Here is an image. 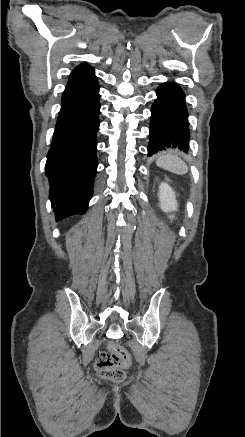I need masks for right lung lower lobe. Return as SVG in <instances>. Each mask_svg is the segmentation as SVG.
Wrapping results in <instances>:
<instances>
[{"instance_id": "98d812e1", "label": "right lung lower lobe", "mask_w": 245, "mask_h": 437, "mask_svg": "<svg viewBox=\"0 0 245 437\" xmlns=\"http://www.w3.org/2000/svg\"><path fill=\"white\" fill-rule=\"evenodd\" d=\"M99 111L97 82L64 91L46 162L49 198L56 221L84 214L88 208L98 164Z\"/></svg>"}]
</instances>
